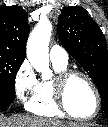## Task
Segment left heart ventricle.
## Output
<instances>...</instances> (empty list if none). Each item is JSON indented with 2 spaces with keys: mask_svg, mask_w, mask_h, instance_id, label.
I'll list each match as a JSON object with an SVG mask.
<instances>
[{
  "mask_svg": "<svg viewBox=\"0 0 108 127\" xmlns=\"http://www.w3.org/2000/svg\"><path fill=\"white\" fill-rule=\"evenodd\" d=\"M69 109L76 115L90 116L96 107V98L90 85L81 77L73 78L66 92Z\"/></svg>",
  "mask_w": 108,
  "mask_h": 127,
  "instance_id": "obj_1",
  "label": "left heart ventricle"
}]
</instances>
